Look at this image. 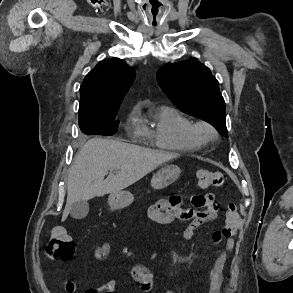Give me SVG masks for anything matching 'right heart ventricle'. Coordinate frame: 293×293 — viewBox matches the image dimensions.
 I'll use <instances>...</instances> for the list:
<instances>
[{
    "label": "right heart ventricle",
    "mask_w": 293,
    "mask_h": 293,
    "mask_svg": "<svg viewBox=\"0 0 293 293\" xmlns=\"http://www.w3.org/2000/svg\"><path fill=\"white\" fill-rule=\"evenodd\" d=\"M192 121L171 106H161L153 115L150 125H141L139 132L158 149L187 152L199 148L193 138Z\"/></svg>",
    "instance_id": "1"
}]
</instances>
